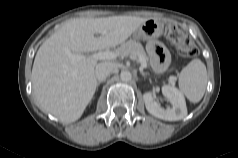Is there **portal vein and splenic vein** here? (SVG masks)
Wrapping results in <instances>:
<instances>
[{
	"mask_svg": "<svg viewBox=\"0 0 238 158\" xmlns=\"http://www.w3.org/2000/svg\"><path fill=\"white\" fill-rule=\"evenodd\" d=\"M66 54L72 63H76L77 61L84 58H91L95 60H113L117 57V54L111 51L98 52L91 56H85L81 54H73L70 50L67 49ZM140 65V70H143L147 67V63L143 59H140Z\"/></svg>",
	"mask_w": 238,
	"mask_h": 158,
	"instance_id": "obj_1",
	"label": "portal vein and splenic vein"
}]
</instances>
